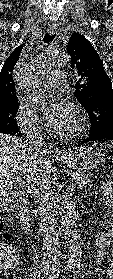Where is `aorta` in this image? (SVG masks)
<instances>
[{"instance_id": "obj_1", "label": "aorta", "mask_w": 113, "mask_h": 279, "mask_svg": "<svg viewBox=\"0 0 113 279\" xmlns=\"http://www.w3.org/2000/svg\"><path fill=\"white\" fill-rule=\"evenodd\" d=\"M70 62V56L65 51H55L45 58L48 69L59 68ZM61 226L68 248V268H76L81 264V238L76 218L69 206H64L61 213Z\"/></svg>"}]
</instances>
